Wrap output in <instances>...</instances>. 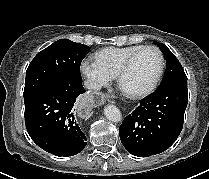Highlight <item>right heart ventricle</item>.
<instances>
[{
    "label": "right heart ventricle",
    "mask_w": 209,
    "mask_h": 179,
    "mask_svg": "<svg viewBox=\"0 0 209 179\" xmlns=\"http://www.w3.org/2000/svg\"><path fill=\"white\" fill-rule=\"evenodd\" d=\"M145 45L107 47L94 54V62L109 78H114L123 63Z\"/></svg>",
    "instance_id": "obj_1"
}]
</instances>
